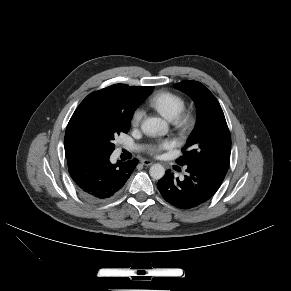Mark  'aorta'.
Wrapping results in <instances>:
<instances>
[{
  "instance_id": "obj_1",
  "label": "aorta",
  "mask_w": 291,
  "mask_h": 291,
  "mask_svg": "<svg viewBox=\"0 0 291 291\" xmlns=\"http://www.w3.org/2000/svg\"><path fill=\"white\" fill-rule=\"evenodd\" d=\"M142 132L149 136L157 134H166L168 131V125L166 121L161 118L151 117L143 121L141 125ZM150 176L153 179L159 180L165 174V169L161 164H154L149 169Z\"/></svg>"
}]
</instances>
